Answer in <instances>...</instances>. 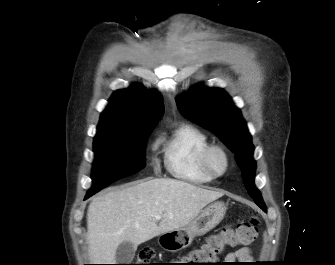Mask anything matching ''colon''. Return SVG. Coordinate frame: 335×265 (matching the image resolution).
I'll list each match as a JSON object with an SVG mask.
<instances>
[{"instance_id":"5ec220e1","label":"colon","mask_w":335,"mask_h":265,"mask_svg":"<svg viewBox=\"0 0 335 265\" xmlns=\"http://www.w3.org/2000/svg\"><path fill=\"white\" fill-rule=\"evenodd\" d=\"M259 221L252 217L246 221L232 226L224 227L220 232L210 235L198 248L190 251L183 257L185 265H213L227 247L238 245H249L257 237ZM154 251L151 248H143L136 259L137 264L129 265H152Z\"/></svg>"}]
</instances>
